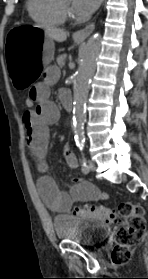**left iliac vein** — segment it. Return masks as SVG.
<instances>
[{
	"label": "left iliac vein",
	"mask_w": 148,
	"mask_h": 279,
	"mask_svg": "<svg viewBox=\"0 0 148 279\" xmlns=\"http://www.w3.org/2000/svg\"><path fill=\"white\" fill-rule=\"evenodd\" d=\"M88 166H89L91 171H94L95 168H96L95 163L92 160L88 161Z\"/></svg>",
	"instance_id": "left-iliac-vein-1"
}]
</instances>
